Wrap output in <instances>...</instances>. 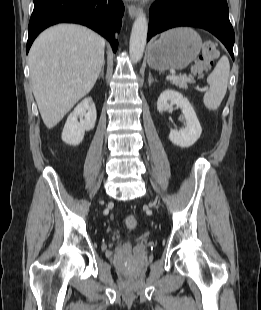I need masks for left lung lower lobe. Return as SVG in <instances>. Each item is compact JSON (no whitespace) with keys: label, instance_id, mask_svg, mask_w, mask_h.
<instances>
[{"label":"left lung lower lobe","instance_id":"left-lung-lower-lobe-1","mask_svg":"<svg viewBox=\"0 0 261 310\" xmlns=\"http://www.w3.org/2000/svg\"><path fill=\"white\" fill-rule=\"evenodd\" d=\"M178 26L203 28L225 45L234 60V31L226 0H157L150 9L147 41Z\"/></svg>","mask_w":261,"mask_h":310}]
</instances>
